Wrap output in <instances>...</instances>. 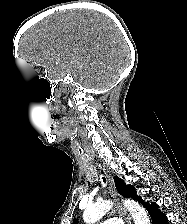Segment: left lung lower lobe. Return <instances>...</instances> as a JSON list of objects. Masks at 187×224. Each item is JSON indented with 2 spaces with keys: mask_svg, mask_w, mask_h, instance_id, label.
<instances>
[{
  "mask_svg": "<svg viewBox=\"0 0 187 224\" xmlns=\"http://www.w3.org/2000/svg\"><path fill=\"white\" fill-rule=\"evenodd\" d=\"M141 203L148 210V212L151 216V219H152V224H167L168 223V219H167L166 215H164L158 209L159 206L156 203L151 202V204H149V202L145 203L144 201Z\"/></svg>",
  "mask_w": 187,
  "mask_h": 224,
  "instance_id": "left-lung-lower-lobe-1",
  "label": "left lung lower lobe"
}]
</instances>
